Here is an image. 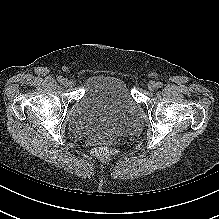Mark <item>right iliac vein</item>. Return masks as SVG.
<instances>
[{
    "mask_svg": "<svg viewBox=\"0 0 219 219\" xmlns=\"http://www.w3.org/2000/svg\"><path fill=\"white\" fill-rule=\"evenodd\" d=\"M62 84L65 86V87H70V86H73L74 85V82L73 81H70L66 78H64Z\"/></svg>",
    "mask_w": 219,
    "mask_h": 219,
    "instance_id": "63e3f726",
    "label": "right iliac vein"
}]
</instances>
